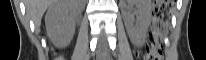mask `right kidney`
<instances>
[{
	"label": "right kidney",
	"instance_id": "obj_1",
	"mask_svg": "<svg viewBox=\"0 0 206 60\" xmlns=\"http://www.w3.org/2000/svg\"><path fill=\"white\" fill-rule=\"evenodd\" d=\"M78 7L77 0H59L49 7L45 22L48 35L55 44L66 46L70 43L74 34L72 11Z\"/></svg>",
	"mask_w": 206,
	"mask_h": 60
}]
</instances>
